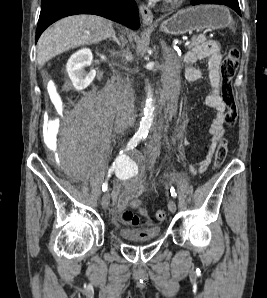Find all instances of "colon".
I'll return each instance as SVG.
<instances>
[{
    "label": "colon",
    "instance_id": "1",
    "mask_svg": "<svg viewBox=\"0 0 267 298\" xmlns=\"http://www.w3.org/2000/svg\"><path fill=\"white\" fill-rule=\"evenodd\" d=\"M239 63V51L232 48L226 54L220 69L221 74V96L227 107V123L234 124L237 116L235 94L232 86V81L235 76ZM228 153V144L225 138L218 143L215 156L214 168L217 169L222 166ZM156 219L163 221L166 218V211L159 209L156 211ZM122 220L124 223L132 226H137L140 222L139 217L130 210H125L122 213Z\"/></svg>",
    "mask_w": 267,
    "mask_h": 298
}]
</instances>
